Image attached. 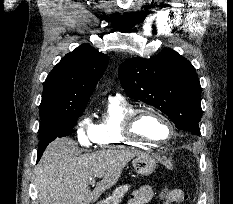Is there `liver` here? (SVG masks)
Segmentation results:
<instances>
[{"instance_id":"liver-1","label":"liver","mask_w":233,"mask_h":204,"mask_svg":"<svg viewBox=\"0 0 233 204\" xmlns=\"http://www.w3.org/2000/svg\"><path fill=\"white\" fill-rule=\"evenodd\" d=\"M76 143L57 138L45 149L35 172L40 204H90L115 185L123 168L141 153L129 149L100 150L76 154ZM102 179L89 189L90 180Z\"/></svg>"}]
</instances>
